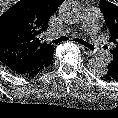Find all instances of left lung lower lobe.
Returning <instances> with one entry per match:
<instances>
[{
	"label": "left lung lower lobe",
	"instance_id": "obj_1",
	"mask_svg": "<svg viewBox=\"0 0 118 118\" xmlns=\"http://www.w3.org/2000/svg\"><path fill=\"white\" fill-rule=\"evenodd\" d=\"M100 76H101V78H102L103 80H106V81H118V79L112 78V76H110V75L107 74L106 72L103 73V74L100 75Z\"/></svg>",
	"mask_w": 118,
	"mask_h": 118
}]
</instances>
